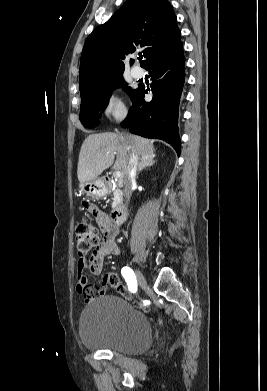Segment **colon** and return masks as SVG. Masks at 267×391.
<instances>
[{"mask_svg": "<svg viewBox=\"0 0 267 391\" xmlns=\"http://www.w3.org/2000/svg\"><path fill=\"white\" fill-rule=\"evenodd\" d=\"M75 237L77 252L81 258L94 253L101 245V238L98 229L93 226L89 220L82 218L76 228ZM110 286L126 299H132L133 296L128 292L126 286L119 280L115 274H111L109 279Z\"/></svg>", "mask_w": 267, "mask_h": 391, "instance_id": "colon-1", "label": "colon"}]
</instances>
